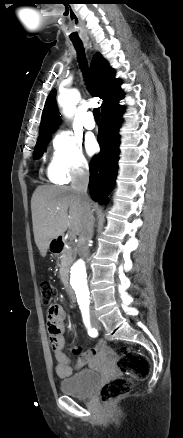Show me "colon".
<instances>
[{
    "instance_id": "obj_1",
    "label": "colon",
    "mask_w": 183,
    "mask_h": 438,
    "mask_svg": "<svg viewBox=\"0 0 183 438\" xmlns=\"http://www.w3.org/2000/svg\"><path fill=\"white\" fill-rule=\"evenodd\" d=\"M41 302L50 305L55 297V287L49 281L40 284ZM150 361L132 346H124L118 355L117 368L128 377H117L105 383L99 392L101 401L110 404L127 395L132 390V381L145 380L150 373Z\"/></svg>"
}]
</instances>
